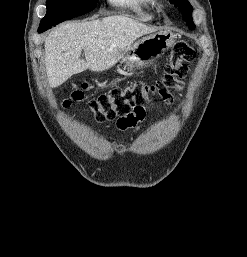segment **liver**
Returning a JSON list of instances; mask_svg holds the SVG:
<instances>
[{"instance_id":"1","label":"liver","mask_w":247,"mask_h":257,"mask_svg":"<svg viewBox=\"0 0 247 257\" xmlns=\"http://www.w3.org/2000/svg\"><path fill=\"white\" fill-rule=\"evenodd\" d=\"M132 18L113 15L70 22L51 31L45 40V66L51 87L86 69L105 71L114 66L139 37L155 32ZM84 50L85 60L80 59Z\"/></svg>"}]
</instances>
